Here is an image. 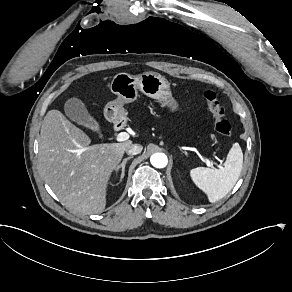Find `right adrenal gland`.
I'll list each match as a JSON object with an SVG mask.
<instances>
[{
	"instance_id": "obj_1",
	"label": "right adrenal gland",
	"mask_w": 292,
	"mask_h": 292,
	"mask_svg": "<svg viewBox=\"0 0 292 292\" xmlns=\"http://www.w3.org/2000/svg\"><path fill=\"white\" fill-rule=\"evenodd\" d=\"M131 158H133V156H129L125 159H123V162L115 169L116 173L119 171V169L121 168V176H120V182L122 181V179L124 178L125 176V165H126V162L128 160H130Z\"/></svg>"
}]
</instances>
